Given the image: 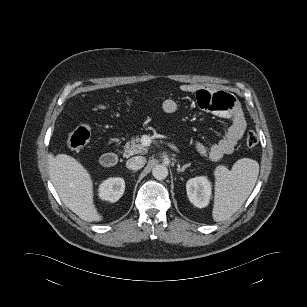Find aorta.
Here are the masks:
<instances>
[{
  "instance_id": "obj_1",
  "label": "aorta",
  "mask_w": 307,
  "mask_h": 307,
  "mask_svg": "<svg viewBox=\"0 0 307 307\" xmlns=\"http://www.w3.org/2000/svg\"><path fill=\"white\" fill-rule=\"evenodd\" d=\"M152 175L157 180H163L168 176V169L164 165H161V164L156 165L152 169Z\"/></svg>"
}]
</instances>
